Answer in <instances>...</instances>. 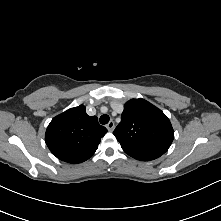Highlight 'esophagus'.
<instances>
[{
    "label": "esophagus",
    "instance_id": "34e87169",
    "mask_svg": "<svg viewBox=\"0 0 221 221\" xmlns=\"http://www.w3.org/2000/svg\"><path fill=\"white\" fill-rule=\"evenodd\" d=\"M106 128L108 129V131H113L114 128H115V123L114 121H110L107 125H106Z\"/></svg>",
    "mask_w": 221,
    "mask_h": 221
}]
</instances>
